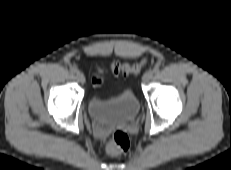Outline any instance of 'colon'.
<instances>
[{
	"label": "colon",
	"mask_w": 231,
	"mask_h": 170,
	"mask_svg": "<svg viewBox=\"0 0 231 170\" xmlns=\"http://www.w3.org/2000/svg\"><path fill=\"white\" fill-rule=\"evenodd\" d=\"M146 64V60L138 63H122L120 61H113L110 64V69L115 74L129 75L137 74ZM102 69L98 68V72L93 76L92 82L95 87L102 84ZM130 142L128 135L121 130L116 131L106 144V151L110 155H118L125 152L129 148Z\"/></svg>",
	"instance_id": "obj_1"
}]
</instances>
